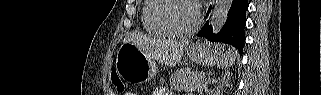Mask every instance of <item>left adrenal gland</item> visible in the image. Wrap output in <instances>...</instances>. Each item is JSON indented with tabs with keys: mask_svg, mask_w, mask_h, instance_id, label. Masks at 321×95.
<instances>
[{
	"mask_svg": "<svg viewBox=\"0 0 321 95\" xmlns=\"http://www.w3.org/2000/svg\"><path fill=\"white\" fill-rule=\"evenodd\" d=\"M222 85H220V87H223V86H227L228 85V80H222Z\"/></svg>",
	"mask_w": 321,
	"mask_h": 95,
	"instance_id": "a2214340",
	"label": "left adrenal gland"
}]
</instances>
